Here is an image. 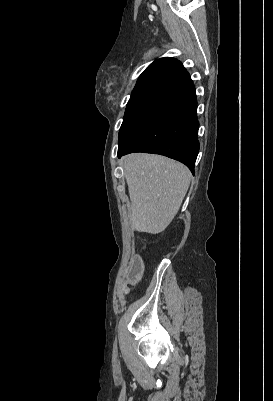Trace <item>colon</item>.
<instances>
[{
    "label": "colon",
    "instance_id": "obj_1",
    "mask_svg": "<svg viewBox=\"0 0 273 401\" xmlns=\"http://www.w3.org/2000/svg\"><path fill=\"white\" fill-rule=\"evenodd\" d=\"M147 260L144 257L133 259L130 268V278H123L121 284L123 287H132V291H137L138 281L141 279L142 270ZM120 295H127V290H120Z\"/></svg>",
    "mask_w": 273,
    "mask_h": 401
}]
</instances>
